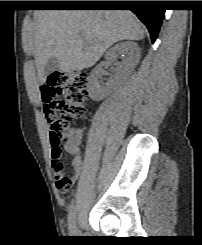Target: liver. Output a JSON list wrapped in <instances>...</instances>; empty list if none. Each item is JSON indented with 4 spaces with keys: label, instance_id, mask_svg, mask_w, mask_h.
Wrapping results in <instances>:
<instances>
[{
    "label": "liver",
    "instance_id": "obj_1",
    "mask_svg": "<svg viewBox=\"0 0 202 245\" xmlns=\"http://www.w3.org/2000/svg\"><path fill=\"white\" fill-rule=\"evenodd\" d=\"M144 30L129 10H37L33 27L23 34L24 49L33 52L39 81L51 57L62 72L92 67L121 40H142Z\"/></svg>",
    "mask_w": 202,
    "mask_h": 245
}]
</instances>
